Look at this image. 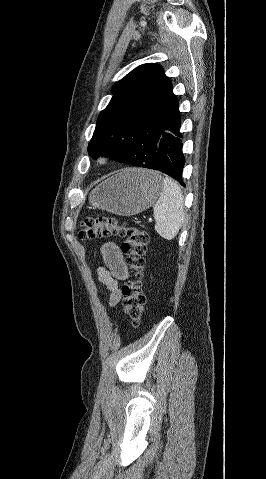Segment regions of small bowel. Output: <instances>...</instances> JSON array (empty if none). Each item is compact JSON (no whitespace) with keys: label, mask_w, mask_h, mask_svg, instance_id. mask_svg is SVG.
Masks as SVG:
<instances>
[{"label":"small bowel","mask_w":266,"mask_h":479,"mask_svg":"<svg viewBox=\"0 0 266 479\" xmlns=\"http://www.w3.org/2000/svg\"><path fill=\"white\" fill-rule=\"evenodd\" d=\"M105 267L96 270L99 281L109 293V305L115 307L121 299L119 282L128 277V268L122 253L115 243H105L101 248Z\"/></svg>","instance_id":"1"}]
</instances>
